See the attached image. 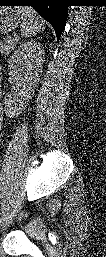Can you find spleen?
Listing matches in <instances>:
<instances>
[{
	"mask_svg": "<svg viewBox=\"0 0 106 257\" xmlns=\"http://www.w3.org/2000/svg\"><path fill=\"white\" fill-rule=\"evenodd\" d=\"M17 12L22 20L21 35L25 38L34 37L44 30V21L31 7H17Z\"/></svg>",
	"mask_w": 106,
	"mask_h": 257,
	"instance_id": "3e777b00",
	"label": "spleen"
}]
</instances>
